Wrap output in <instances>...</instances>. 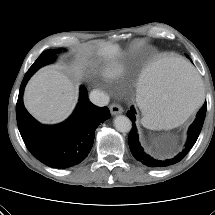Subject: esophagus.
<instances>
[{
    "label": "esophagus",
    "instance_id": "esophagus-1",
    "mask_svg": "<svg viewBox=\"0 0 215 215\" xmlns=\"http://www.w3.org/2000/svg\"><path fill=\"white\" fill-rule=\"evenodd\" d=\"M110 112L112 115L122 114L123 108L119 104H111L110 105Z\"/></svg>",
    "mask_w": 215,
    "mask_h": 215
}]
</instances>
